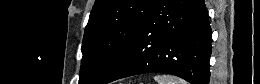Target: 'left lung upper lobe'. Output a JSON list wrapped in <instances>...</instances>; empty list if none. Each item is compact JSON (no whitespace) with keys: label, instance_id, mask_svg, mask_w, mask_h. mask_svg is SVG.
<instances>
[{"label":"left lung upper lobe","instance_id":"5c2ea615","mask_svg":"<svg viewBox=\"0 0 260 84\" xmlns=\"http://www.w3.org/2000/svg\"><path fill=\"white\" fill-rule=\"evenodd\" d=\"M157 0H96L85 28L79 84H102Z\"/></svg>","mask_w":260,"mask_h":84}]
</instances>
